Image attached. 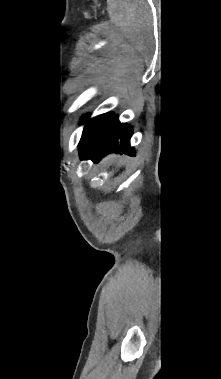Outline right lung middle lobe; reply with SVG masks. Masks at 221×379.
<instances>
[{"mask_svg":"<svg viewBox=\"0 0 221 379\" xmlns=\"http://www.w3.org/2000/svg\"><path fill=\"white\" fill-rule=\"evenodd\" d=\"M113 119L114 114L106 113L90 120L84 129L80 143H95Z\"/></svg>","mask_w":221,"mask_h":379,"instance_id":"obj_1","label":"right lung middle lobe"}]
</instances>
